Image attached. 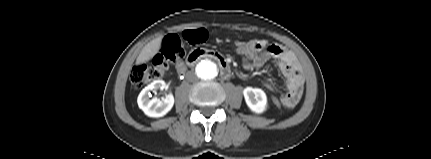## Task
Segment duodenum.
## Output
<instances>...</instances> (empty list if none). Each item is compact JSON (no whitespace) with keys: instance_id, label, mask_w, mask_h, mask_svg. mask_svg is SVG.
<instances>
[{"instance_id":"duodenum-1","label":"duodenum","mask_w":431,"mask_h":159,"mask_svg":"<svg viewBox=\"0 0 431 159\" xmlns=\"http://www.w3.org/2000/svg\"><path fill=\"white\" fill-rule=\"evenodd\" d=\"M203 59H210L212 61H215L220 67L222 74L225 77L230 76L231 68L229 63L221 54L213 50L196 49L192 51L187 57V65L191 67L195 65L198 61ZM185 71H186V66H184L183 71L178 70L179 73H184Z\"/></svg>"}]
</instances>
